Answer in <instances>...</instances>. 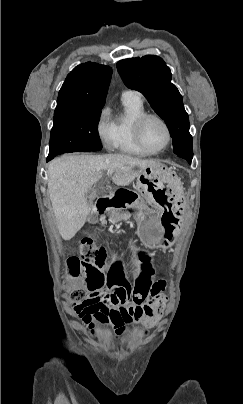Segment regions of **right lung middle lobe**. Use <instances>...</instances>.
<instances>
[{"label":"right lung middle lobe","instance_id":"obj_1","mask_svg":"<svg viewBox=\"0 0 243 404\" xmlns=\"http://www.w3.org/2000/svg\"><path fill=\"white\" fill-rule=\"evenodd\" d=\"M102 107L55 109L47 161L55 156L81 151H98L102 144L97 125Z\"/></svg>","mask_w":243,"mask_h":404}]
</instances>
